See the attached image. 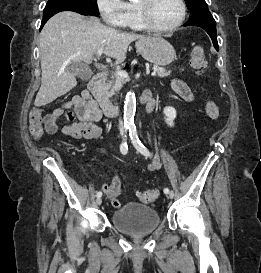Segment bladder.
<instances>
[{"instance_id": "bladder-1", "label": "bladder", "mask_w": 261, "mask_h": 273, "mask_svg": "<svg viewBox=\"0 0 261 273\" xmlns=\"http://www.w3.org/2000/svg\"><path fill=\"white\" fill-rule=\"evenodd\" d=\"M110 220L118 230L134 235L151 233L160 224V216L155 208L134 202L117 208Z\"/></svg>"}]
</instances>
